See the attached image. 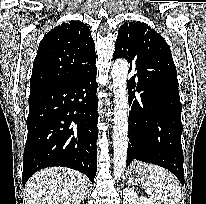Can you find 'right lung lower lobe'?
Returning a JSON list of instances; mask_svg holds the SVG:
<instances>
[{
    "label": "right lung lower lobe",
    "mask_w": 206,
    "mask_h": 204,
    "mask_svg": "<svg viewBox=\"0 0 206 204\" xmlns=\"http://www.w3.org/2000/svg\"><path fill=\"white\" fill-rule=\"evenodd\" d=\"M97 68L30 90L23 185L36 171L64 166L94 181L97 169Z\"/></svg>",
    "instance_id": "1"
}]
</instances>
